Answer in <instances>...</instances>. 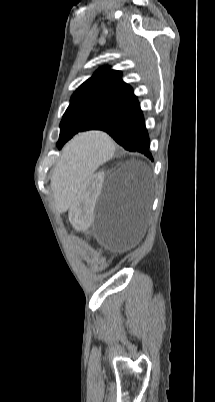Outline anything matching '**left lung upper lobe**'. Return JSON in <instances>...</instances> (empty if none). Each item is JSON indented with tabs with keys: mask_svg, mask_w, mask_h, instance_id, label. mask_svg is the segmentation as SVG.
<instances>
[{
	"mask_svg": "<svg viewBox=\"0 0 215 402\" xmlns=\"http://www.w3.org/2000/svg\"><path fill=\"white\" fill-rule=\"evenodd\" d=\"M137 97L123 82L121 72L102 67L72 95L60 123L57 147L61 148L76 133L96 129Z\"/></svg>",
	"mask_w": 215,
	"mask_h": 402,
	"instance_id": "left-lung-upper-lobe-1",
	"label": "left lung upper lobe"
}]
</instances>
